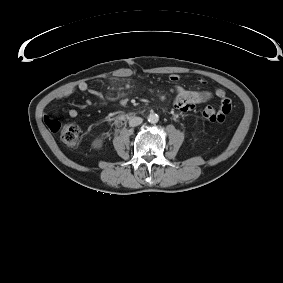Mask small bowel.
<instances>
[{
	"label": "small bowel",
	"instance_id": "1",
	"mask_svg": "<svg viewBox=\"0 0 283 283\" xmlns=\"http://www.w3.org/2000/svg\"><path fill=\"white\" fill-rule=\"evenodd\" d=\"M168 80L171 84H173V92L175 94L174 106L181 113H189L195 110L198 104L207 102L213 97H218L222 100L221 106H223L225 101L230 102V100L226 95V91L222 88H215L214 90H201V91L188 90L180 84V76L177 74H171ZM199 82L201 84H206V81L204 79H199ZM87 89H88V85L82 82L78 85L76 91L83 92L86 91ZM68 116L72 119L77 118L78 116L77 109L75 108L69 109Z\"/></svg>",
	"mask_w": 283,
	"mask_h": 283
}]
</instances>
